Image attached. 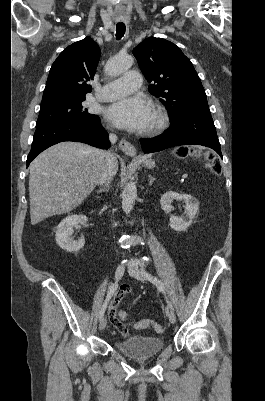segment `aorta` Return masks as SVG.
<instances>
[{"label": "aorta", "instance_id": "aorta-1", "mask_svg": "<svg viewBox=\"0 0 265 401\" xmlns=\"http://www.w3.org/2000/svg\"><path fill=\"white\" fill-rule=\"evenodd\" d=\"M133 64L132 56H125L124 60L109 58L105 64V70L110 76H119L124 70H128ZM137 196V186L135 182H127L122 192V209L124 213H130L134 207Z\"/></svg>", "mask_w": 265, "mask_h": 401}]
</instances>
